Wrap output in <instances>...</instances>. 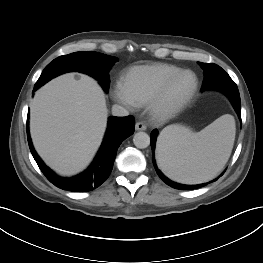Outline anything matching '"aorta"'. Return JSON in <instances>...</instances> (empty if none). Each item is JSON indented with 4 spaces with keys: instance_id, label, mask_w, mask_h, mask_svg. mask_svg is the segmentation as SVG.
Listing matches in <instances>:
<instances>
[{
    "instance_id": "obj_1",
    "label": "aorta",
    "mask_w": 263,
    "mask_h": 263,
    "mask_svg": "<svg viewBox=\"0 0 263 263\" xmlns=\"http://www.w3.org/2000/svg\"><path fill=\"white\" fill-rule=\"evenodd\" d=\"M133 143L139 149L147 148L150 145V137L145 132H138L133 137Z\"/></svg>"
}]
</instances>
